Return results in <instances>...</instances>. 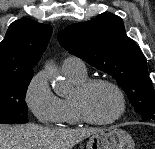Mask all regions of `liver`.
<instances>
[{
    "mask_svg": "<svg viewBox=\"0 0 155 149\" xmlns=\"http://www.w3.org/2000/svg\"><path fill=\"white\" fill-rule=\"evenodd\" d=\"M98 128L61 129L25 125H0V149H72Z\"/></svg>",
    "mask_w": 155,
    "mask_h": 149,
    "instance_id": "6515ba94",
    "label": "liver"
}]
</instances>
